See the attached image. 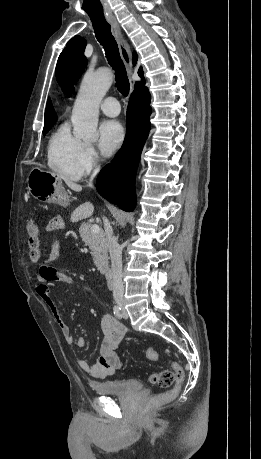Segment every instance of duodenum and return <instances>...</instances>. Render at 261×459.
Here are the masks:
<instances>
[{
    "label": "duodenum",
    "instance_id": "obj_1",
    "mask_svg": "<svg viewBox=\"0 0 261 459\" xmlns=\"http://www.w3.org/2000/svg\"><path fill=\"white\" fill-rule=\"evenodd\" d=\"M102 272L103 274L105 275L107 281L109 284H112V281H113V273H112V269L110 266L108 265H104L102 267Z\"/></svg>",
    "mask_w": 261,
    "mask_h": 459
}]
</instances>
